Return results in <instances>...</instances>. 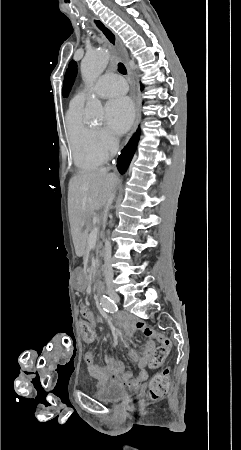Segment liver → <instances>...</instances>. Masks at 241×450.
<instances>
[{
	"label": "liver",
	"mask_w": 241,
	"mask_h": 450,
	"mask_svg": "<svg viewBox=\"0 0 241 450\" xmlns=\"http://www.w3.org/2000/svg\"><path fill=\"white\" fill-rule=\"evenodd\" d=\"M118 184L114 174L105 168L92 172H77L69 182V214L73 242L77 256H82L86 246L85 226L91 224V214L100 210L112 198ZM105 216H107L105 212Z\"/></svg>",
	"instance_id": "obj_1"
}]
</instances>
